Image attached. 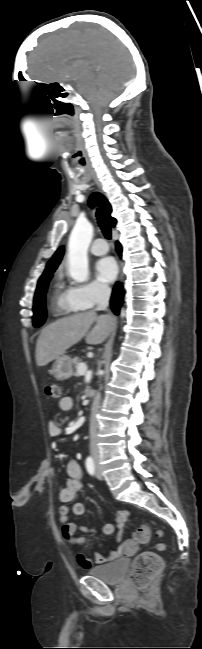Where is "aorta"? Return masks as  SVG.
<instances>
[{"label": "aorta", "mask_w": 202, "mask_h": 649, "mask_svg": "<svg viewBox=\"0 0 202 649\" xmlns=\"http://www.w3.org/2000/svg\"><path fill=\"white\" fill-rule=\"evenodd\" d=\"M93 237V226L87 220H78L68 243V271L77 282L87 281L89 266L87 252Z\"/></svg>", "instance_id": "aorta-1"}]
</instances>
